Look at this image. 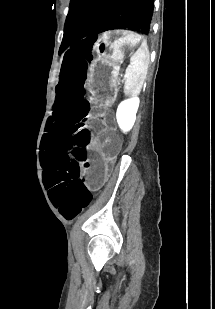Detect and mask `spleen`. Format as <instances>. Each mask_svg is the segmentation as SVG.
<instances>
[{"label": "spleen", "mask_w": 215, "mask_h": 309, "mask_svg": "<svg viewBox=\"0 0 215 309\" xmlns=\"http://www.w3.org/2000/svg\"><path fill=\"white\" fill-rule=\"evenodd\" d=\"M130 60L131 64H128L126 68L124 92L136 96L142 88L149 64V50L146 40H143L140 48L134 52Z\"/></svg>", "instance_id": "spleen-1"}]
</instances>
